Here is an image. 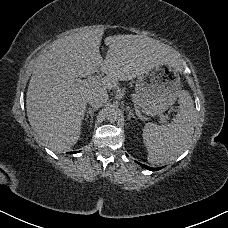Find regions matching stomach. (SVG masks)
<instances>
[{"instance_id":"1","label":"stomach","mask_w":228,"mask_h":228,"mask_svg":"<svg viewBox=\"0 0 228 228\" xmlns=\"http://www.w3.org/2000/svg\"><path fill=\"white\" fill-rule=\"evenodd\" d=\"M178 70L159 65L137 77L136 100L147 117H155L173 106L181 92Z\"/></svg>"}]
</instances>
